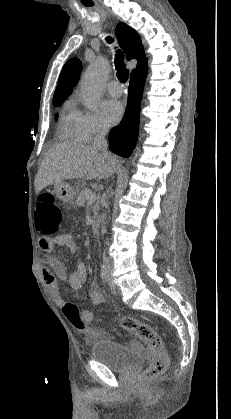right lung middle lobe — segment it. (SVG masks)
<instances>
[{"label": "right lung middle lobe", "mask_w": 231, "mask_h": 419, "mask_svg": "<svg viewBox=\"0 0 231 419\" xmlns=\"http://www.w3.org/2000/svg\"><path fill=\"white\" fill-rule=\"evenodd\" d=\"M64 101V99H58V100H53L52 103L54 106H59L62 104V102ZM58 117V115H56V118Z\"/></svg>", "instance_id": "right-lung-middle-lobe-1"}]
</instances>
